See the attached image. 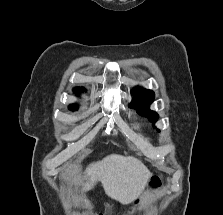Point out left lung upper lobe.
I'll return each instance as SVG.
<instances>
[{
	"label": "left lung upper lobe",
	"instance_id": "obj_1",
	"mask_svg": "<svg viewBox=\"0 0 223 215\" xmlns=\"http://www.w3.org/2000/svg\"><path fill=\"white\" fill-rule=\"evenodd\" d=\"M132 92L134 99L130 107L135 108L140 115L148 117L149 121L155 122L158 119V114L155 111H151L148 107L154 99V92L138 87L134 88Z\"/></svg>",
	"mask_w": 223,
	"mask_h": 215
}]
</instances>
